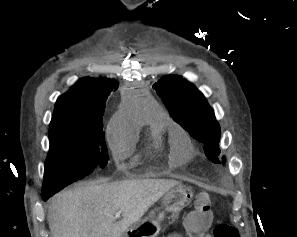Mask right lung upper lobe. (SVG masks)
<instances>
[{"label": "right lung upper lobe", "instance_id": "obj_1", "mask_svg": "<svg viewBox=\"0 0 297 237\" xmlns=\"http://www.w3.org/2000/svg\"><path fill=\"white\" fill-rule=\"evenodd\" d=\"M117 82L107 78H83L59 96L50 127L64 123L102 124L107 96Z\"/></svg>", "mask_w": 297, "mask_h": 237}]
</instances>
